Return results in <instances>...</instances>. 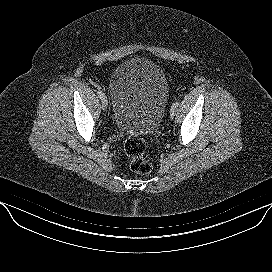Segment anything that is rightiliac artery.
I'll list each match as a JSON object with an SVG mask.
<instances>
[{
    "mask_svg": "<svg viewBox=\"0 0 272 272\" xmlns=\"http://www.w3.org/2000/svg\"><path fill=\"white\" fill-rule=\"evenodd\" d=\"M97 94L99 96L100 99H103L105 97L104 93L102 91H97Z\"/></svg>",
    "mask_w": 272,
    "mask_h": 272,
    "instance_id": "right-iliac-artery-1",
    "label": "right iliac artery"
}]
</instances>
